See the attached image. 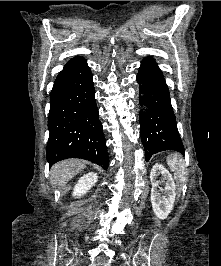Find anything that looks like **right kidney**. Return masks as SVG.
<instances>
[{
	"label": "right kidney",
	"instance_id": "1",
	"mask_svg": "<svg viewBox=\"0 0 221 266\" xmlns=\"http://www.w3.org/2000/svg\"><path fill=\"white\" fill-rule=\"evenodd\" d=\"M97 180L98 176L96 173L90 172L83 175L74 187L73 196L81 197L82 195L86 194L90 190V188L95 185Z\"/></svg>",
	"mask_w": 221,
	"mask_h": 266
}]
</instances>
